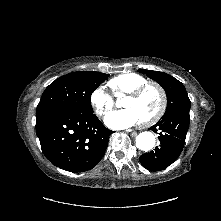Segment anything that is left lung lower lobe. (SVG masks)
<instances>
[{"label":"left lung lower lobe","instance_id":"obj_1","mask_svg":"<svg viewBox=\"0 0 221 221\" xmlns=\"http://www.w3.org/2000/svg\"><path fill=\"white\" fill-rule=\"evenodd\" d=\"M189 122V111L179 110L168 113L150 127L154 132L160 131V145L140 156L142 166L150 171H160L170 166L183 150Z\"/></svg>","mask_w":221,"mask_h":221}]
</instances>
